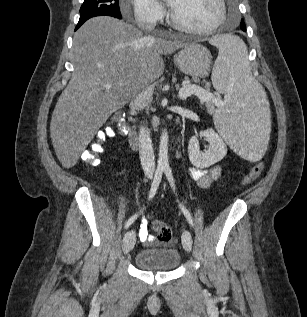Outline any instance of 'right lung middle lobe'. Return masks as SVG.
Instances as JSON below:
<instances>
[{"mask_svg": "<svg viewBox=\"0 0 307 317\" xmlns=\"http://www.w3.org/2000/svg\"><path fill=\"white\" fill-rule=\"evenodd\" d=\"M102 15L121 19L119 0H84L80 8L79 22H85L91 17Z\"/></svg>", "mask_w": 307, "mask_h": 317, "instance_id": "obj_1", "label": "right lung middle lobe"}]
</instances>
